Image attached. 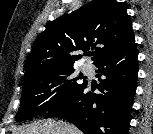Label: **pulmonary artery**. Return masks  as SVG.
<instances>
[{
    "label": "pulmonary artery",
    "mask_w": 153,
    "mask_h": 134,
    "mask_svg": "<svg viewBox=\"0 0 153 134\" xmlns=\"http://www.w3.org/2000/svg\"><path fill=\"white\" fill-rule=\"evenodd\" d=\"M83 69H84V71H85L86 73H91V72L93 71V67H92V65L89 64V63H85V64L83 65Z\"/></svg>",
    "instance_id": "obj_1"
}]
</instances>
